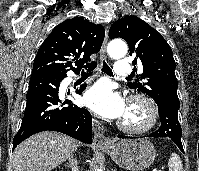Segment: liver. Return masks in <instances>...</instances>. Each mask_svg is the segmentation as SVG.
Listing matches in <instances>:
<instances>
[{
    "label": "liver",
    "instance_id": "6515ba94",
    "mask_svg": "<svg viewBox=\"0 0 199 171\" xmlns=\"http://www.w3.org/2000/svg\"><path fill=\"white\" fill-rule=\"evenodd\" d=\"M80 143L65 134L44 131L35 134L13 152L11 171H51L77 150Z\"/></svg>",
    "mask_w": 199,
    "mask_h": 171
}]
</instances>
